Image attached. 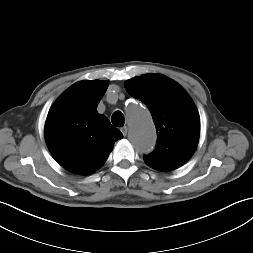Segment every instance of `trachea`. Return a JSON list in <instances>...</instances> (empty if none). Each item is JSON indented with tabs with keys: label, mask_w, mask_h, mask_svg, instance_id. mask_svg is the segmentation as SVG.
Returning <instances> with one entry per match:
<instances>
[{
	"label": "trachea",
	"mask_w": 253,
	"mask_h": 253,
	"mask_svg": "<svg viewBox=\"0 0 253 253\" xmlns=\"http://www.w3.org/2000/svg\"><path fill=\"white\" fill-rule=\"evenodd\" d=\"M112 124L116 127H121L124 125L125 119L121 111H115L111 117Z\"/></svg>",
	"instance_id": "trachea-1"
}]
</instances>
